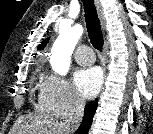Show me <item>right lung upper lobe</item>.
<instances>
[{
  "label": "right lung upper lobe",
  "mask_w": 153,
  "mask_h": 134,
  "mask_svg": "<svg viewBox=\"0 0 153 134\" xmlns=\"http://www.w3.org/2000/svg\"><path fill=\"white\" fill-rule=\"evenodd\" d=\"M48 41H49V39L47 38V39H45L38 47H37V49L38 50H42V49H44L45 48V46L47 45V43H48Z\"/></svg>",
  "instance_id": "1"
}]
</instances>
